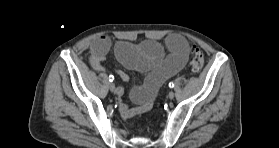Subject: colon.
I'll return each instance as SVG.
<instances>
[{"label": "colon", "mask_w": 279, "mask_h": 148, "mask_svg": "<svg viewBox=\"0 0 279 148\" xmlns=\"http://www.w3.org/2000/svg\"><path fill=\"white\" fill-rule=\"evenodd\" d=\"M204 66V55L202 51L197 48H192L191 68L194 74H199Z\"/></svg>", "instance_id": "obj_1"}]
</instances>
